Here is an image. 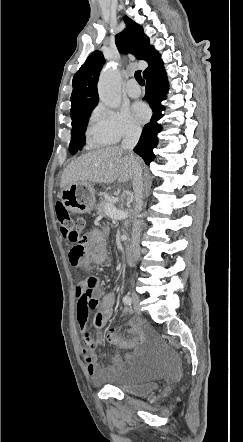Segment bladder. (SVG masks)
<instances>
[{"label":"bladder","mask_w":243,"mask_h":442,"mask_svg":"<svg viewBox=\"0 0 243 442\" xmlns=\"http://www.w3.org/2000/svg\"><path fill=\"white\" fill-rule=\"evenodd\" d=\"M155 362L141 353L128 354L107 379L106 386L134 395L144 396L158 388Z\"/></svg>","instance_id":"bladder-1"}]
</instances>
